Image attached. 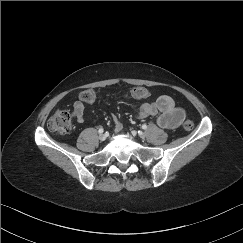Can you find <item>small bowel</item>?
I'll return each mask as SVG.
<instances>
[{
    "label": "small bowel",
    "mask_w": 243,
    "mask_h": 243,
    "mask_svg": "<svg viewBox=\"0 0 243 243\" xmlns=\"http://www.w3.org/2000/svg\"><path fill=\"white\" fill-rule=\"evenodd\" d=\"M83 108L81 100H76L73 103V115L78 123L85 121ZM158 113L157 124L164 129L178 127L185 117L184 109L177 107L169 95H161L156 99H150L148 102L143 103L138 110L137 117L139 119H145ZM122 129L123 124L119 120H115L114 131L118 133Z\"/></svg>",
    "instance_id": "c3829d8e"
}]
</instances>
